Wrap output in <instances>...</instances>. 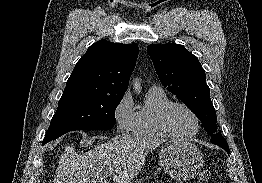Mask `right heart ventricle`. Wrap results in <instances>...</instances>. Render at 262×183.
Masks as SVG:
<instances>
[{"instance_id": "1", "label": "right heart ventricle", "mask_w": 262, "mask_h": 183, "mask_svg": "<svg viewBox=\"0 0 262 183\" xmlns=\"http://www.w3.org/2000/svg\"><path fill=\"white\" fill-rule=\"evenodd\" d=\"M171 102L163 89L151 88L144 103L135 112L132 133L145 138L169 137L160 127L159 117L162 110Z\"/></svg>"}]
</instances>
